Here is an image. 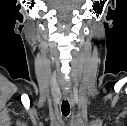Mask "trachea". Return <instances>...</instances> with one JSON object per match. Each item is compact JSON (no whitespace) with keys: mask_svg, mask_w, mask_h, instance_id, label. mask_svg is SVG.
<instances>
[{"mask_svg":"<svg viewBox=\"0 0 127 126\" xmlns=\"http://www.w3.org/2000/svg\"><path fill=\"white\" fill-rule=\"evenodd\" d=\"M61 111L64 116H68L70 113V105L67 100L62 102Z\"/></svg>","mask_w":127,"mask_h":126,"instance_id":"1","label":"trachea"}]
</instances>
